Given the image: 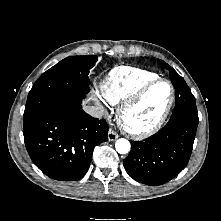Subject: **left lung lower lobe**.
I'll use <instances>...</instances> for the list:
<instances>
[{"label":"left lung lower lobe","mask_w":221,"mask_h":221,"mask_svg":"<svg viewBox=\"0 0 221 221\" xmlns=\"http://www.w3.org/2000/svg\"><path fill=\"white\" fill-rule=\"evenodd\" d=\"M177 114L191 110L193 98L175 88ZM198 124L170 119L156 134L143 141H131V151L123 160L128 175L147 185H161L178 175L188 164Z\"/></svg>","instance_id":"obj_1"}]
</instances>
